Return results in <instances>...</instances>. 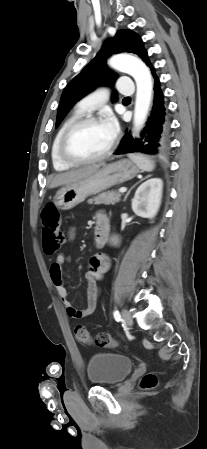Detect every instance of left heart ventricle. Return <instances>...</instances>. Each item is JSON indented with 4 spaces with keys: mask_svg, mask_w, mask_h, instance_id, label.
<instances>
[{
    "mask_svg": "<svg viewBox=\"0 0 207 449\" xmlns=\"http://www.w3.org/2000/svg\"><path fill=\"white\" fill-rule=\"evenodd\" d=\"M112 141L104 123L88 124L77 128L69 137L67 148L79 158L95 157L103 153Z\"/></svg>",
    "mask_w": 207,
    "mask_h": 449,
    "instance_id": "b2bd125f",
    "label": "left heart ventricle"
}]
</instances>
